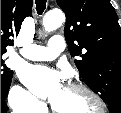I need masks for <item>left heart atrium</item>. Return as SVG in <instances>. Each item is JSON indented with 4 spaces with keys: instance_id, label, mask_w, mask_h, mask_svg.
<instances>
[{
    "instance_id": "39dd6f15",
    "label": "left heart atrium",
    "mask_w": 121,
    "mask_h": 113,
    "mask_svg": "<svg viewBox=\"0 0 121 113\" xmlns=\"http://www.w3.org/2000/svg\"><path fill=\"white\" fill-rule=\"evenodd\" d=\"M21 77L35 94L52 103L58 98L63 88L60 75L46 67L30 66L22 72Z\"/></svg>"
}]
</instances>
